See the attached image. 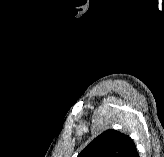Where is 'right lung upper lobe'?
<instances>
[{
	"mask_svg": "<svg viewBox=\"0 0 164 157\" xmlns=\"http://www.w3.org/2000/svg\"><path fill=\"white\" fill-rule=\"evenodd\" d=\"M133 140L116 130H107L96 137L77 157H132Z\"/></svg>",
	"mask_w": 164,
	"mask_h": 157,
	"instance_id": "right-lung-upper-lobe-1",
	"label": "right lung upper lobe"
}]
</instances>
